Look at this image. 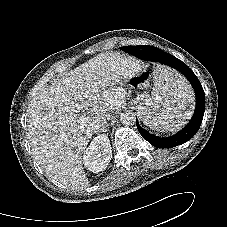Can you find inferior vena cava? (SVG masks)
<instances>
[{"label": "inferior vena cava", "mask_w": 227, "mask_h": 227, "mask_svg": "<svg viewBox=\"0 0 227 227\" xmlns=\"http://www.w3.org/2000/svg\"><path fill=\"white\" fill-rule=\"evenodd\" d=\"M110 119V117H107L105 119L98 120L96 123V128L99 129L100 127H104L107 124V121ZM102 130V129H100Z\"/></svg>", "instance_id": "obj_1"}]
</instances>
